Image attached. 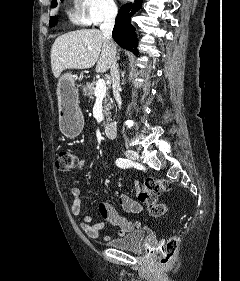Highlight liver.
Instances as JSON below:
<instances>
[{
  "instance_id": "1",
  "label": "liver",
  "mask_w": 240,
  "mask_h": 281,
  "mask_svg": "<svg viewBox=\"0 0 240 281\" xmlns=\"http://www.w3.org/2000/svg\"><path fill=\"white\" fill-rule=\"evenodd\" d=\"M115 44L109 43L98 29H81L59 36L51 48V68L58 78L65 69H88L106 72L111 65Z\"/></svg>"
}]
</instances>
